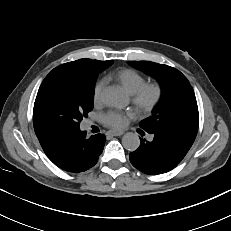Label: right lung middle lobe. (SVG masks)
<instances>
[{"instance_id":"obj_1","label":"right lung middle lobe","mask_w":231,"mask_h":231,"mask_svg":"<svg viewBox=\"0 0 231 231\" xmlns=\"http://www.w3.org/2000/svg\"><path fill=\"white\" fill-rule=\"evenodd\" d=\"M112 63L113 60H108L102 70ZM64 72L60 70L46 76L34 103L33 122L53 131L80 129L81 120L93 108L94 84L99 72L86 80Z\"/></svg>"}]
</instances>
